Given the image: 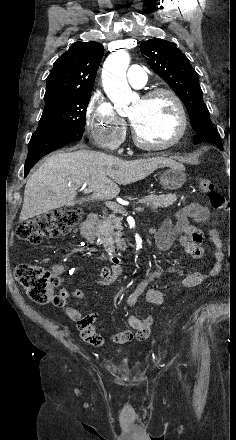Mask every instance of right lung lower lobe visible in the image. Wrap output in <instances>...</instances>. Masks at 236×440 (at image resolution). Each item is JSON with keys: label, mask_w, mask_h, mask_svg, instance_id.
I'll return each instance as SVG.
<instances>
[{"label": "right lung lower lobe", "mask_w": 236, "mask_h": 440, "mask_svg": "<svg viewBox=\"0 0 236 440\" xmlns=\"http://www.w3.org/2000/svg\"><path fill=\"white\" fill-rule=\"evenodd\" d=\"M82 135L83 133L73 131L59 133L35 132L29 142L24 177L27 176L30 169L41 157L70 142L81 140Z\"/></svg>", "instance_id": "obj_1"}]
</instances>
